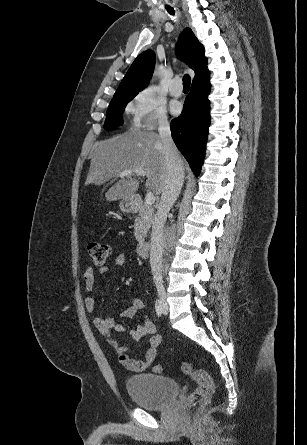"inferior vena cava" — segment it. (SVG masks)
Returning a JSON list of instances; mask_svg holds the SVG:
<instances>
[{
	"mask_svg": "<svg viewBox=\"0 0 307 445\" xmlns=\"http://www.w3.org/2000/svg\"><path fill=\"white\" fill-rule=\"evenodd\" d=\"M158 132L165 150L164 180L161 200L152 227L150 267L159 297H166L161 273L164 225L171 206H173L177 196L180 194L184 182V168L179 150L176 148L171 136L170 124L167 116H161Z\"/></svg>",
	"mask_w": 307,
	"mask_h": 445,
	"instance_id": "1",
	"label": "inferior vena cava"
}]
</instances>
